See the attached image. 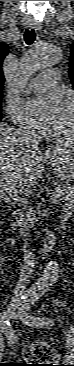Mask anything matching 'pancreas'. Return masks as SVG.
Returning <instances> with one entry per match:
<instances>
[{"instance_id":"pancreas-1","label":"pancreas","mask_w":74,"mask_h":366,"mask_svg":"<svg viewBox=\"0 0 74 366\" xmlns=\"http://www.w3.org/2000/svg\"><path fill=\"white\" fill-rule=\"evenodd\" d=\"M54 189L57 195H59L62 200L68 201L67 205H70L74 199V190L69 185L55 184Z\"/></svg>"}]
</instances>
